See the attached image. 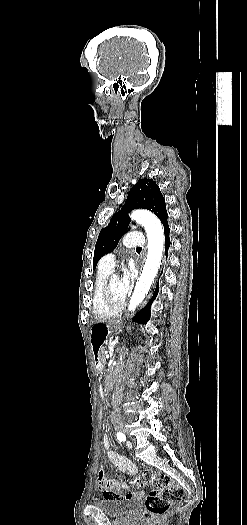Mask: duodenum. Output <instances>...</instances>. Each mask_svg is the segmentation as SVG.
Returning <instances> with one entry per match:
<instances>
[{"label":"duodenum","instance_id":"duodenum-1","mask_svg":"<svg viewBox=\"0 0 247 525\" xmlns=\"http://www.w3.org/2000/svg\"><path fill=\"white\" fill-rule=\"evenodd\" d=\"M96 369H97L98 371H100V370L102 369V365H101L99 362L96 363ZM100 395H101L102 397H105V394H104V392H103L102 390H100Z\"/></svg>","mask_w":247,"mask_h":525}]
</instances>
